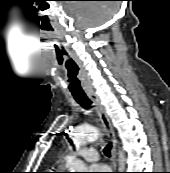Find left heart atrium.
<instances>
[{
  "instance_id": "left-heart-atrium-1",
  "label": "left heart atrium",
  "mask_w": 170,
  "mask_h": 173,
  "mask_svg": "<svg viewBox=\"0 0 170 173\" xmlns=\"http://www.w3.org/2000/svg\"><path fill=\"white\" fill-rule=\"evenodd\" d=\"M90 173H106L107 167L104 165L96 164L89 167Z\"/></svg>"
}]
</instances>
